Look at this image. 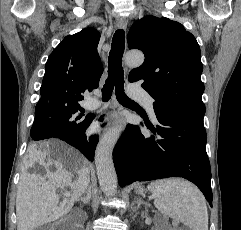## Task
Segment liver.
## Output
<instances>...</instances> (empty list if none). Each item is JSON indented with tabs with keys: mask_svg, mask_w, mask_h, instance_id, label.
Returning <instances> with one entry per match:
<instances>
[{
	"mask_svg": "<svg viewBox=\"0 0 241 230\" xmlns=\"http://www.w3.org/2000/svg\"><path fill=\"white\" fill-rule=\"evenodd\" d=\"M50 144L58 151L57 160L50 157L49 149L32 145L27 150L16 197L17 230H34L68 213L89 185L90 170L86 159L62 142ZM35 163L45 168L44 176L28 172ZM68 186L71 192L58 205L57 189Z\"/></svg>",
	"mask_w": 241,
	"mask_h": 230,
	"instance_id": "6515ba94",
	"label": "liver"
}]
</instances>
